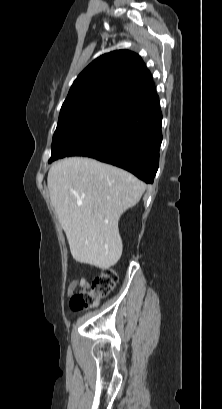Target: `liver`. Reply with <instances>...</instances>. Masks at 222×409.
I'll return each mask as SVG.
<instances>
[{
    "label": "liver",
    "mask_w": 222,
    "mask_h": 409,
    "mask_svg": "<svg viewBox=\"0 0 222 409\" xmlns=\"http://www.w3.org/2000/svg\"><path fill=\"white\" fill-rule=\"evenodd\" d=\"M47 184L73 258L100 269L114 266L123 250L120 216L139 202L144 183L115 166L70 157L52 165Z\"/></svg>",
    "instance_id": "1"
}]
</instances>
